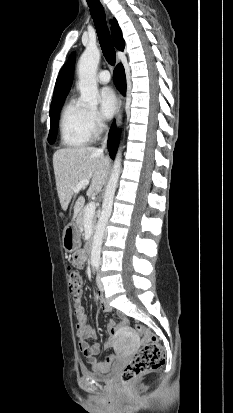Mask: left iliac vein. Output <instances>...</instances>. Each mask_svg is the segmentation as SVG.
Listing matches in <instances>:
<instances>
[{
	"mask_svg": "<svg viewBox=\"0 0 233 413\" xmlns=\"http://www.w3.org/2000/svg\"><path fill=\"white\" fill-rule=\"evenodd\" d=\"M97 286H98L100 291H102V292L104 291V285H103V282L101 280L100 274H98V276H97Z\"/></svg>",
	"mask_w": 233,
	"mask_h": 413,
	"instance_id": "1",
	"label": "left iliac vein"
}]
</instances>
